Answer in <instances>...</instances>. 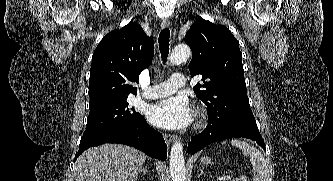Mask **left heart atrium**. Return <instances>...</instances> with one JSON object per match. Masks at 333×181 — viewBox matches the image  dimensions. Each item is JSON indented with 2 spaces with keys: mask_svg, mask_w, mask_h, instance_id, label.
I'll list each match as a JSON object with an SVG mask.
<instances>
[{
  "mask_svg": "<svg viewBox=\"0 0 333 181\" xmlns=\"http://www.w3.org/2000/svg\"><path fill=\"white\" fill-rule=\"evenodd\" d=\"M190 102L183 96H173L153 104L148 110L149 121L165 129H180L193 121Z\"/></svg>",
  "mask_w": 333,
  "mask_h": 181,
  "instance_id": "obj_1",
  "label": "left heart atrium"
}]
</instances>
